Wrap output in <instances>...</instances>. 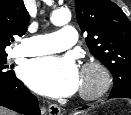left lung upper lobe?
I'll use <instances>...</instances> for the list:
<instances>
[{
	"instance_id": "left-lung-upper-lobe-1",
	"label": "left lung upper lobe",
	"mask_w": 131,
	"mask_h": 115,
	"mask_svg": "<svg viewBox=\"0 0 131 115\" xmlns=\"http://www.w3.org/2000/svg\"><path fill=\"white\" fill-rule=\"evenodd\" d=\"M75 10L90 52L113 75L109 97L131 99V22L110 0H75Z\"/></svg>"
}]
</instances>
